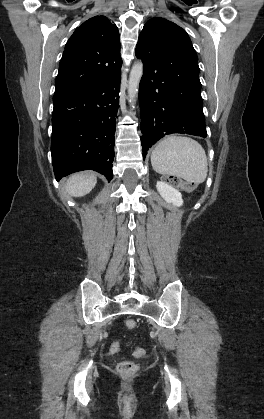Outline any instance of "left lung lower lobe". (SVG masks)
Segmentation results:
<instances>
[{
	"label": "left lung lower lobe",
	"instance_id": "obj_1",
	"mask_svg": "<svg viewBox=\"0 0 264 419\" xmlns=\"http://www.w3.org/2000/svg\"><path fill=\"white\" fill-rule=\"evenodd\" d=\"M160 53L155 46L136 53L144 63L139 86L143 157L168 134L207 137L200 81L164 75L159 65Z\"/></svg>",
	"mask_w": 264,
	"mask_h": 419
}]
</instances>
